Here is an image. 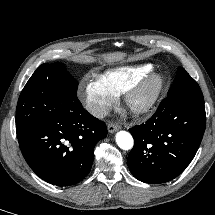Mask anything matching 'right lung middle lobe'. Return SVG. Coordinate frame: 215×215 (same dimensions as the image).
Returning a JSON list of instances; mask_svg holds the SVG:
<instances>
[{
    "label": "right lung middle lobe",
    "mask_w": 215,
    "mask_h": 215,
    "mask_svg": "<svg viewBox=\"0 0 215 215\" xmlns=\"http://www.w3.org/2000/svg\"><path fill=\"white\" fill-rule=\"evenodd\" d=\"M78 82L61 63H44L23 88L16 108V133L23 134L46 113L73 100Z\"/></svg>",
    "instance_id": "right-lung-middle-lobe-1"
}]
</instances>
